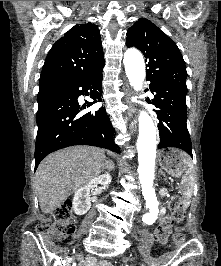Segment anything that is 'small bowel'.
<instances>
[{
  "label": "small bowel",
  "instance_id": "c3829d8e",
  "mask_svg": "<svg viewBox=\"0 0 221 266\" xmlns=\"http://www.w3.org/2000/svg\"><path fill=\"white\" fill-rule=\"evenodd\" d=\"M87 266H113V265L108 261H96L94 259H90L88 261Z\"/></svg>",
  "mask_w": 221,
  "mask_h": 266
}]
</instances>
